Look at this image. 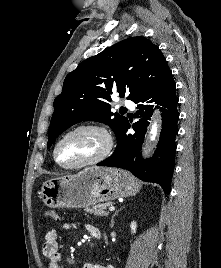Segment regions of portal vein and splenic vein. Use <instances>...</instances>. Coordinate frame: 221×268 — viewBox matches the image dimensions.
Here are the masks:
<instances>
[{"mask_svg": "<svg viewBox=\"0 0 221 268\" xmlns=\"http://www.w3.org/2000/svg\"><path fill=\"white\" fill-rule=\"evenodd\" d=\"M114 210H115L114 206L109 207V211H114Z\"/></svg>", "mask_w": 221, "mask_h": 268, "instance_id": "portal-vein-and-splenic-vein-1", "label": "portal vein and splenic vein"}]
</instances>
